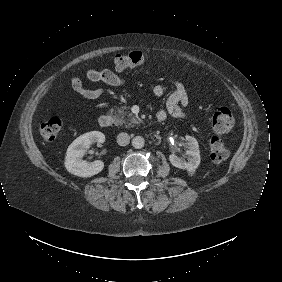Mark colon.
Instances as JSON below:
<instances>
[{"mask_svg": "<svg viewBox=\"0 0 282 282\" xmlns=\"http://www.w3.org/2000/svg\"><path fill=\"white\" fill-rule=\"evenodd\" d=\"M146 56L140 51H130L118 54L115 58V67L118 71H125L141 66ZM234 123L233 113L229 108L221 107L212 114L211 124L213 136L209 142L210 157L214 162H222L229 156L227 143L223 135L227 134ZM62 120L58 116H50L41 123L40 134L44 142H52L59 134Z\"/></svg>", "mask_w": 282, "mask_h": 282, "instance_id": "5ec220e1", "label": "colon"}]
</instances>
